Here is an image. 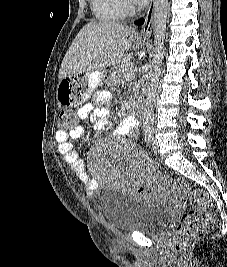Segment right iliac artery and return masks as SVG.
Wrapping results in <instances>:
<instances>
[{
    "mask_svg": "<svg viewBox=\"0 0 227 267\" xmlns=\"http://www.w3.org/2000/svg\"><path fill=\"white\" fill-rule=\"evenodd\" d=\"M145 139H146L147 143L150 144L151 136L149 134H146Z\"/></svg>",
    "mask_w": 227,
    "mask_h": 267,
    "instance_id": "1",
    "label": "right iliac artery"
}]
</instances>
